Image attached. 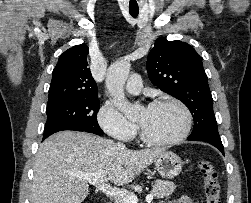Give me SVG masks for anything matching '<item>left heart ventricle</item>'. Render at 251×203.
Instances as JSON below:
<instances>
[{"instance_id": "b2bd125f", "label": "left heart ventricle", "mask_w": 251, "mask_h": 203, "mask_svg": "<svg viewBox=\"0 0 251 203\" xmlns=\"http://www.w3.org/2000/svg\"><path fill=\"white\" fill-rule=\"evenodd\" d=\"M137 122L151 138L166 140L177 136L181 132L185 117L178 106L165 103L142 109Z\"/></svg>"}]
</instances>
